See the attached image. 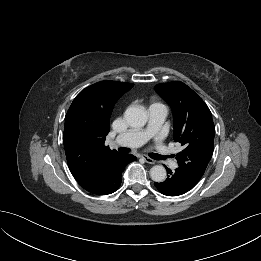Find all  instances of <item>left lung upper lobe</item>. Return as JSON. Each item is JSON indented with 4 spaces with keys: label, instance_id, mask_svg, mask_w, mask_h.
I'll use <instances>...</instances> for the list:
<instances>
[{
    "label": "left lung upper lobe",
    "instance_id": "5c2ea615",
    "mask_svg": "<svg viewBox=\"0 0 261 261\" xmlns=\"http://www.w3.org/2000/svg\"><path fill=\"white\" fill-rule=\"evenodd\" d=\"M157 93L171 106L174 140L184 146L177 153L179 169L199 182L213 154L215 127L205 102L180 81L158 84Z\"/></svg>",
    "mask_w": 261,
    "mask_h": 261
}]
</instances>
